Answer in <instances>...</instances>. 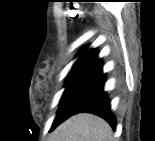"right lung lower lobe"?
Returning a JSON list of instances; mask_svg holds the SVG:
<instances>
[{
	"label": "right lung lower lobe",
	"instance_id": "1",
	"mask_svg": "<svg viewBox=\"0 0 155 141\" xmlns=\"http://www.w3.org/2000/svg\"><path fill=\"white\" fill-rule=\"evenodd\" d=\"M105 78L106 75L102 73L101 68L67 102L63 108L62 119L58 124L74 114L87 112L104 118L115 129V117L111 113L107 94L103 90ZM57 125L52 126L51 129Z\"/></svg>",
	"mask_w": 155,
	"mask_h": 141
}]
</instances>
